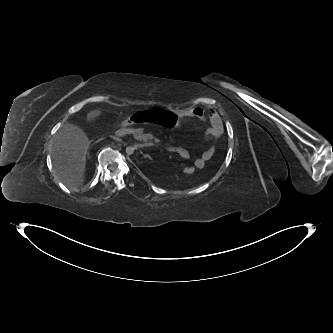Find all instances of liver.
<instances>
[{
	"instance_id": "obj_1",
	"label": "liver",
	"mask_w": 333,
	"mask_h": 333,
	"mask_svg": "<svg viewBox=\"0 0 333 333\" xmlns=\"http://www.w3.org/2000/svg\"><path fill=\"white\" fill-rule=\"evenodd\" d=\"M101 114L99 109L91 110L86 120L94 121ZM89 145L85 132L73 124H65L55 135L52 146L54 172L69 188H77L84 182Z\"/></svg>"
}]
</instances>
